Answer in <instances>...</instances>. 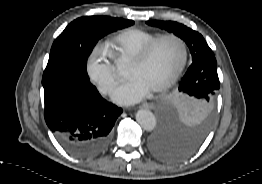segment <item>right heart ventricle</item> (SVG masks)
Wrapping results in <instances>:
<instances>
[{
    "label": "right heart ventricle",
    "mask_w": 262,
    "mask_h": 184,
    "mask_svg": "<svg viewBox=\"0 0 262 184\" xmlns=\"http://www.w3.org/2000/svg\"><path fill=\"white\" fill-rule=\"evenodd\" d=\"M160 35L138 28H129L121 31L110 41V53L117 60H131L147 44Z\"/></svg>",
    "instance_id": "1"
}]
</instances>
